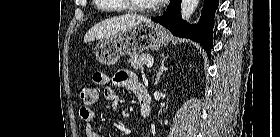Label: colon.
Wrapping results in <instances>:
<instances>
[{"mask_svg":"<svg viewBox=\"0 0 280 137\" xmlns=\"http://www.w3.org/2000/svg\"><path fill=\"white\" fill-rule=\"evenodd\" d=\"M79 97L84 104L91 106L98 99V91L94 87L84 86L79 89Z\"/></svg>","mask_w":280,"mask_h":137,"instance_id":"5ec220e1","label":"colon"}]
</instances>
